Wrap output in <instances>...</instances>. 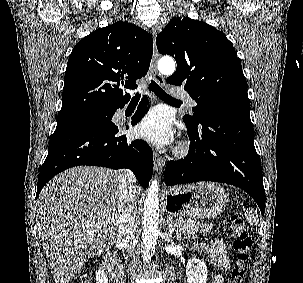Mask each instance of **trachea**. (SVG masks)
Here are the masks:
<instances>
[{"label": "trachea", "instance_id": "obj_1", "mask_svg": "<svg viewBox=\"0 0 303 283\" xmlns=\"http://www.w3.org/2000/svg\"><path fill=\"white\" fill-rule=\"evenodd\" d=\"M150 89L161 99L169 101V102H175V103H181L180 100L174 99L171 96H169L156 82L151 80ZM141 97V94L137 92L134 97L132 98V101H138Z\"/></svg>", "mask_w": 303, "mask_h": 283}]
</instances>
